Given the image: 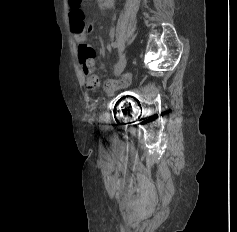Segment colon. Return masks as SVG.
<instances>
[{
	"label": "colon",
	"mask_w": 237,
	"mask_h": 232,
	"mask_svg": "<svg viewBox=\"0 0 237 232\" xmlns=\"http://www.w3.org/2000/svg\"><path fill=\"white\" fill-rule=\"evenodd\" d=\"M70 23L75 34H86L91 31V25L85 21L82 10V0H69Z\"/></svg>",
	"instance_id": "colon-1"
}]
</instances>
